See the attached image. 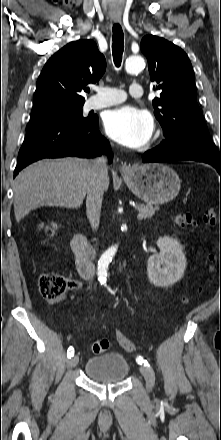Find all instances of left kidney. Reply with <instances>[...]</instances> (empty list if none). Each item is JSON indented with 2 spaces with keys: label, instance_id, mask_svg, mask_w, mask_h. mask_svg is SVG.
Wrapping results in <instances>:
<instances>
[{
  "label": "left kidney",
  "instance_id": "left-kidney-1",
  "mask_svg": "<svg viewBox=\"0 0 221 440\" xmlns=\"http://www.w3.org/2000/svg\"><path fill=\"white\" fill-rule=\"evenodd\" d=\"M157 246L160 253L149 257L147 262L148 277L157 287H169L183 277L186 257L180 242L172 237L159 238Z\"/></svg>",
  "mask_w": 221,
  "mask_h": 440
}]
</instances>
